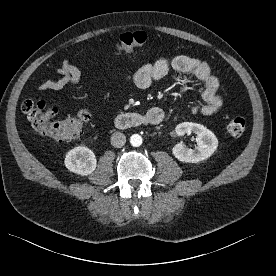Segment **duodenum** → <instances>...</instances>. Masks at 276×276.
Segmentation results:
<instances>
[{
	"mask_svg": "<svg viewBox=\"0 0 276 276\" xmlns=\"http://www.w3.org/2000/svg\"><path fill=\"white\" fill-rule=\"evenodd\" d=\"M164 116L162 113L157 117L148 116L136 112L122 113L118 115L116 124L120 128H133L145 125H156L162 122Z\"/></svg>",
	"mask_w": 276,
	"mask_h": 276,
	"instance_id": "duodenum-1",
	"label": "duodenum"
}]
</instances>
